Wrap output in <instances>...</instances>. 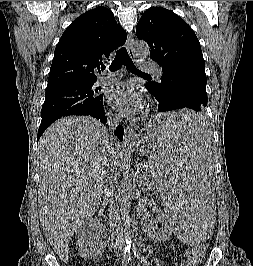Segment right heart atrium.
Wrapping results in <instances>:
<instances>
[{
    "instance_id": "obj_1",
    "label": "right heart atrium",
    "mask_w": 253,
    "mask_h": 266,
    "mask_svg": "<svg viewBox=\"0 0 253 266\" xmlns=\"http://www.w3.org/2000/svg\"><path fill=\"white\" fill-rule=\"evenodd\" d=\"M109 113H110V115H115V113L113 111H110Z\"/></svg>"
}]
</instances>
